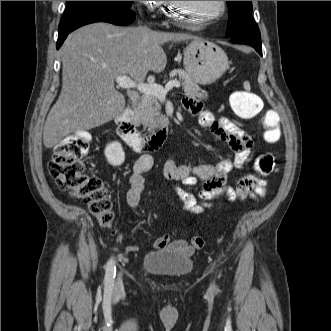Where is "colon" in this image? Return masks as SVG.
Here are the masks:
<instances>
[{
    "label": "colon",
    "mask_w": 331,
    "mask_h": 331,
    "mask_svg": "<svg viewBox=\"0 0 331 331\" xmlns=\"http://www.w3.org/2000/svg\"><path fill=\"white\" fill-rule=\"evenodd\" d=\"M230 106L234 114L244 120H251L262 113L261 98L246 90L236 91L230 97ZM264 137L268 143H276L280 138V119L275 111H268L261 117ZM90 147V136L77 132L64 138L55 148L48 170L57 186L74 198L83 201L102 226H109L113 221L112 203L107 197L102 180L85 172L83 158ZM274 156L269 153L259 154L254 161V170L266 176L273 172ZM246 190L240 198L246 196ZM192 244L196 248L204 246L201 236H194Z\"/></svg>",
    "instance_id": "5ec220e1"
}]
</instances>
